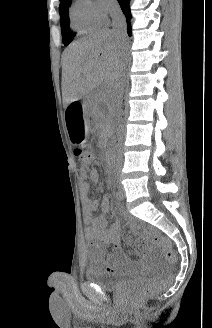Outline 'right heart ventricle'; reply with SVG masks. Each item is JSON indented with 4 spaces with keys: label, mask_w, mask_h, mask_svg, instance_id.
Here are the masks:
<instances>
[{
    "label": "right heart ventricle",
    "mask_w": 212,
    "mask_h": 328,
    "mask_svg": "<svg viewBox=\"0 0 212 328\" xmlns=\"http://www.w3.org/2000/svg\"><path fill=\"white\" fill-rule=\"evenodd\" d=\"M70 24L72 29L79 33H87L99 27L100 22L90 14L86 0H77L70 9Z\"/></svg>",
    "instance_id": "right-heart-ventricle-1"
}]
</instances>
